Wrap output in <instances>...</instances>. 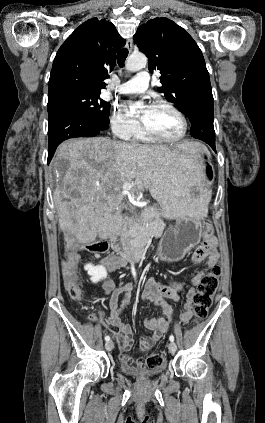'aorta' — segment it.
Returning <instances> with one entry per match:
<instances>
[{"label":"aorta","mask_w":265,"mask_h":423,"mask_svg":"<svg viewBox=\"0 0 265 423\" xmlns=\"http://www.w3.org/2000/svg\"><path fill=\"white\" fill-rule=\"evenodd\" d=\"M147 65V57L144 54H132L126 62V70L130 72H135L145 68ZM132 109H139L143 107L142 102L135 103L130 106Z\"/></svg>","instance_id":"aorta-1"}]
</instances>
